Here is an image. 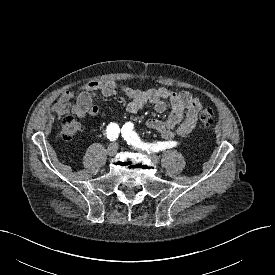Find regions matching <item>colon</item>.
Segmentation results:
<instances>
[{
    "mask_svg": "<svg viewBox=\"0 0 275 275\" xmlns=\"http://www.w3.org/2000/svg\"><path fill=\"white\" fill-rule=\"evenodd\" d=\"M199 120L204 126H211L215 122V112L206 108L199 113ZM82 130V125L71 115H66L61 121V133L64 139L71 140L75 138Z\"/></svg>",
    "mask_w": 275,
    "mask_h": 275,
    "instance_id": "colon-1",
    "label": "colon"
}]
</instances>
